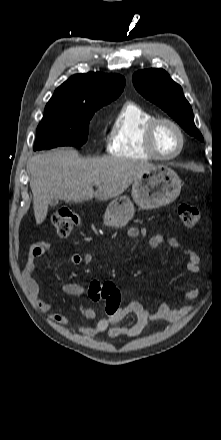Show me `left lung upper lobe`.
Returning a JSON list of instances; mask_svg holds the SVG:
<instances>
[{"label": "left lung upper lobe", "mask_w": 221, "mask_h": 440, "mask_svg": "<svg viewBox=\"0 0 221 440\" xmlns=\"http://www.w3.org/2000/svg\"><path fill=\"white\" fill-rule=\"evenodd\" d=\"M133 84L146 99L167 112L190 135L203 141L194 124L193 111L183 95L180 85L175 83L163 69H145L134 73Z\"/></svg>", "instance_id": "1"}]
</instances>
